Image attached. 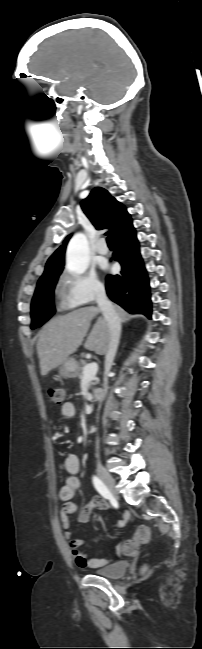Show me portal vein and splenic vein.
Here are the masks:
<instances>
[{
  "mask_svg": "<svg viewBox=\"0 0 202 649\" xmlns=\"http://www.w3.org/2000/svg\"><path fill=\"white\" fill-rule=\"evenodd\" d=\"M98 365L95 362L87 364L83 369V380H93L97 374Z\"/></svg>",
  "mask_w": 202,
  "mask_h": 649,
  "instance_id": "18ae733b",
  "label": "portal vein and splenic vein"
}]
</instances>
